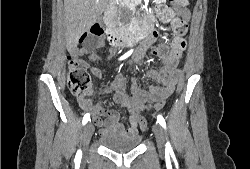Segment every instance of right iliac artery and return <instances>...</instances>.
<instances>
[{
  "label": "right iliac artery",
  "mask_w": 250,
  "mask_h": 169,
  "mask_svg": "<svg viewBox=\"0 0 250 169\" xmlns=\"http://www.w3.org/2000/svg\"><path fill=\"white\" fill-rule=\"evenodd\" d=\"M132 52H133V50H130L129 52H127L126 54L121 56L119 60H123V59L127 58L128 56H130L132 54ZM89 120H90V114L87 113L83 117L82 124L85 125ZM81 158H82V151L78 150L77 153H76V156H75V161L80 162Z\"/></svg>",
  "instance_id": "right-iliac-artery-1"
}]
</instances>
